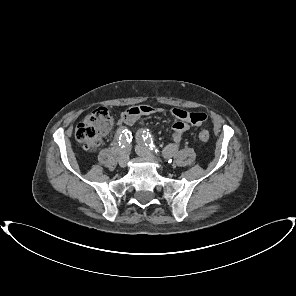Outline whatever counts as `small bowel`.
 Segmentation results:
<instances>
[{
  "mask_svg": "<svg viewBox=\"0 0 296 296\" xmlns=\"http://www.w3.org/2000/svg\"><path fill=\"white\" fill-rule=\"evenodd\" d=\"M160 111L159 108L147 104L134 106L125 110L121 114L120 122L123 125L129 126L134 124L142 116L155 114ZM169 113L173 118L174 123L172 126V142L166 146V152L172 154L178 150L182 138L190 125L199 126L202 122H193L191 119L193 114L201 112H188L183 109L173 108Z\"/></svg>",
  "mask_w": 296,
  "mask_h": 296,
  "instance_id": "obj_1",
  "label": "small bowel"
}]
</instances>
